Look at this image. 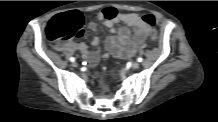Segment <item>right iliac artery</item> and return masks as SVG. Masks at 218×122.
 Returning a JSON list of instances; mask_svg holds the SVG:
<instances>
[{"label": "right iliac artery", "instance_id": "obj_1", "mask_svg": "<svg viewBox=\"0 0 218 122\" xmlns=\"http://www.w3.org/2000/svg\"><path fill=\"white\" fill-rule=\"evenodd\" d=\"M70 61H71V62H74V61H75V58H74V57H71V58H70Z\"/></svg>", "mask_w": 218, "mask_h": 122}]
</instances>
